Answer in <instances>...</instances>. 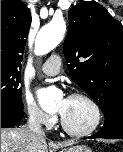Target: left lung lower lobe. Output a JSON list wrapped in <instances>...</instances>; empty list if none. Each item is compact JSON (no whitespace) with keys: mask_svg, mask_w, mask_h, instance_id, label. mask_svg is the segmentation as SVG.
<instances>
[{"mask_svg":"<svg viewBox=\"0 0 123 152\" xmlns=\"http://www.w3.org/2000/svg\"><path fill=\"white\" fill-rule=\"evenodd\" d=\"M89 138L123 139V106L115 107L105 115L103 128Z\"/></svg>","mask_w":123,"mask_h":152,"instance_id":"0a47b994","label":"left lung lower lobe"}]
</instances>
